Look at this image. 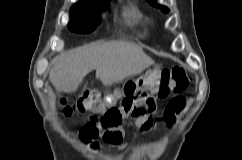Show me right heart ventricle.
I'll return each instance as SVG.
<instances>
[{
    "label": "right heart ventricle",
    "instance_id": "obj_1",
    "mask_svg": "<svg viewBox=\"0 0 242 160\" xmlns=\"http://www.w3.org/2000/svg\"><path fill=\"white\" fill-rule=\"evenodd\" d=\"M128 16L136 21L140 20L142 15L139 12L136 11H130L128 12Z\"/></svg>",
    "mask_w": 242,
    "mask_h": 160
}]
</instances>
